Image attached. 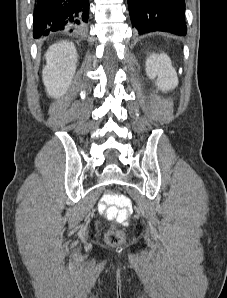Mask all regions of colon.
<instances>
[{
    "label": "colon",
    "mask_w": 227,
    "mask_h": 298,
    "mask_svg": "<svg viewBox=\"0 0 227 298\" xmlns=\"http://www.w3.org/2000/svg\"><path fill=\"white\" fill-rule=\"evenodd\" d=\"M104 207V213L110 220L118 219L125 221L131 211V204L127 198L115 193L104 195L100 203ZM105 239L109 245L118 246L125 240V234L122 230L114 226L105 231Z\"/></svg>",
    "instance_id": "obj_1"
}]
</instances>
